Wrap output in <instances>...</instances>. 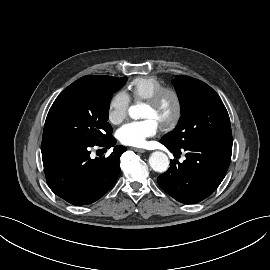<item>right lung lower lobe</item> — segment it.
Here are the masks:
<instances>
[{
    "label": "right lung lower lobe",
    "mask_w": 270,
    "mask_h": 270,
    "mask_svg": "<svg viewBox=\"0 0 270 270\" xmlns=\"http://www.w3.org/2000/svg\"><path fill=\"white\" fill-rule=\"evenodd\" d=\"M116 140L110 136L97 146L110 148ZM92 145L67 142H42L44 172L50 189L73 205H87L100 199L116 182L119 158L126 148L114 146L107 158H90Z\"/></svg>",
    "instance_id": "obj_1"
}]
</instances>
